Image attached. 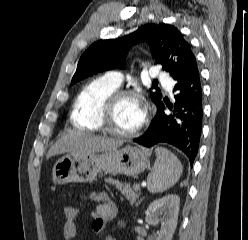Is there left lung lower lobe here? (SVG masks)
I'll return each mask as SVG.
<instances>
[{
    "mask_svg": "<svg viewBox=\"0 0 248 240\" xmlns=\"http://www.w3.org/2000/svg\"><path fill=\"white\" fill-rule=\"evenodd\" d=\"M176 81V102L174 105L166 103L173 113L165 114V106L161 103L145 134L134 141L146 147L171 144L181 150L192 165L198 153L203 120L202 86L197 63Z\"/></svg>",
    "mask_w": 248,
    "mask_h": 240,
    "instance_id": "0a47b994",
    "label": "left lung lower lobe"
}]
</instances>
